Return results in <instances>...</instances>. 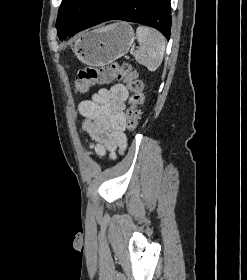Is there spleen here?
Wrapping results in <instances>:
<instances>
[{
	"mask_svg": "<svg viewBox=\"0 0 247 280\" xmlns=\"http://www.w3.org/2000/svg\"><path fill=\"white\" fill-rule=\"evenodd\" d=\"M136 37L140 47L134 53L135 60L149 71H155L164 57L165 38L159 31L146 26L137 28Z\"/></svg>",
	"mask_w": 247,
	"mask_h": 280,
	"instance_id": "3e777b00",
	"label": "spleen"
}]
</instances>
